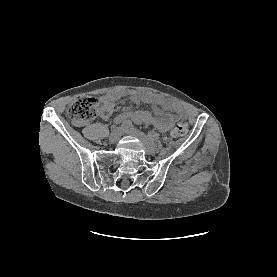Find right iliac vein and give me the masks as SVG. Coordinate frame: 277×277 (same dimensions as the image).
Returning <instances> with one entry per match:
<instances>
[{
    "label": "right iliac vein",
    "instance_id": "right-iliac-vein-1",
    "mask_svg": "<svg viewBox=\"0 0 277 277\" xmlns=\"http://www.w3.org/2000/svg\"><path fill=\"white\" fill-rule=\"evenodd\" d=\"M120 136H121L120 129L114 128L109 136V139H108L109 143L110 144L116 143L119 140Z\"/></svg>",
    "mask_w": 277,
    "mask_h": 277
}]
</instances>
